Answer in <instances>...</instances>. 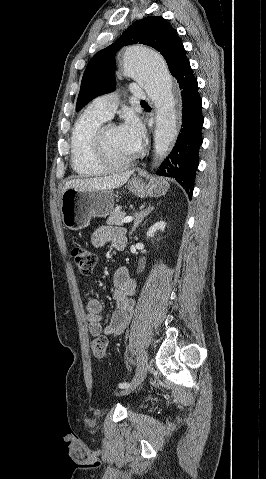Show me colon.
I'll return each instance as SVG.
<instances>
[{
  "label": "colon",
  "mask_w": 266,
  "mask_h": 479,
  "mask_svg": "<svg viewBox=\"0 0 266 479\" xmlns=\"http://www.w3.org/2000/svg\"><path fill=\"white\" fill-rule=\"evenodd\" d=\"M71 256L74 265L83 276H89L95 267V254L82 244L75 243L71 248ZM107 339L104 336L97 337L91 344V349L96 357H103L106 353Z\"/></svg>",
  "instance_id": "1"
}]
</instances>
